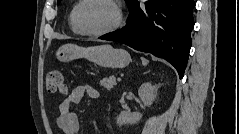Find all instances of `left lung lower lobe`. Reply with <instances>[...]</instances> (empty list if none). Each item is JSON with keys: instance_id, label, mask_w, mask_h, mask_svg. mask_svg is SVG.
<instances>
[{"instance_id": "left-lung-lower-lobe-1", "label": "left lung lower lobe", "mask_w": 239, "mask_h": 134, "mask_svg": "<svg viewBox=\"0 0 239 134\" xmlns=\"http://www.w3.org/2000/svg\"><path fill=\"white\" fill-rule=\"evenodd\" d=\"M194 0H149L130 6L126 26L100 37L126 44L170 62L183 78L191 48Z\"/></svg>"}]
</instances>
